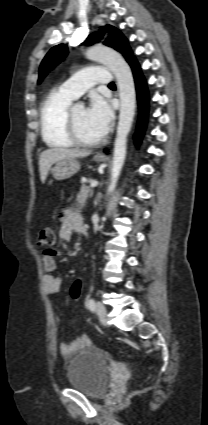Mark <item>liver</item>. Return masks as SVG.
Masks as SVG:
<instances>
[{
    "instance_id": "liver-1",
    "label": "liver",
    "mask_w": 208,
    "mask_h": 425,
    "mask_svg": "<svg viewBox=\"0 0 208 425\" xmlns=\"http://www.w3.org/2000/svg\"><path fill=\"white\" fill-rule=\"evenodd\" d=\"M91 154V151L79 149L52 148L43 151L39 157V171L41 182L44 183L51 166L64 159L84 158Z\"/></svg>"
}]
</instances>
